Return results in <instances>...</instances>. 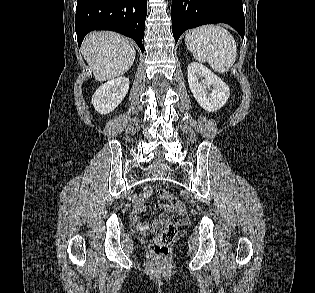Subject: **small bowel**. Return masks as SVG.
Here are the masks:
<instances>
[{"label": "small bowel", "instance_id": "c3829d8e", "mask_svg": "<svg viewBox=\"0 0 315 293\" xmlns=\"http://www.w3.org/2000/svg\"><path fill=\"white\" fill-rule=\"evenodd\" d=\"M152 194V188L150 186H146L141 195L137 198L133 210H132V215L133 218L135 220V223L137 225L138 228L142 229V230H146L149 228V225L142 221L141 219V214L146 210V202L149 199V197ZM156 207L159 208H163L165 210H167V214L168 215H175L176 214V209L175 208H171L167 205H156ZM163 213L159 216L158 219L154 220L152 223V229L153 230H161L162 226L167 223L169 221V216Z\"/></svg>", "mask_w": 315, "mask_h": 293}]
</instances>
